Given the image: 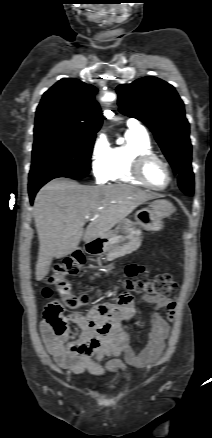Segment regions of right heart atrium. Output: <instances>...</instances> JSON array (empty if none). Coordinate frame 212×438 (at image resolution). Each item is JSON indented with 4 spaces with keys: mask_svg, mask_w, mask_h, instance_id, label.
I'll return each mask as SVG.
<instances>
[{
    "mask_svg": "<svg viewBox=\"0 0 212 438\" xmlns=\"http://www.w3.org/2000/svg\"><path fill=\"white\" fill-rule=\"evenodd\" d=\"M109 143L104 133L96 136L91 148L92 173L98 182L106 181L109 169Z\"/></svg>",
    "mask_w": 212,
    "mask_h": 438,
    "instance_id": "right-heart-atrium-1",
    "label": "right heart atrium"
}]
</instances>
